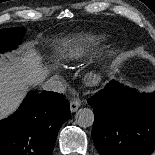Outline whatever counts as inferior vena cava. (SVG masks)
<instances>
[{
  "label": "inferior vena cava",
  "mask_w": 155,
  "mask_h": 155,
  "mask_svg": "<svg viewBox=\"0 0 155 155\" xmlns=\"http://www.w3.org/2000/svg\"><path fill=\"white\" fill-rule=\"evenodd\" d=\"M43 89L46 91H53L57 93L65 92L64 84L61 81L52 78L44 82Z\"/></svg>",
  "instance_id": "obj_1"
}]
</instances>
